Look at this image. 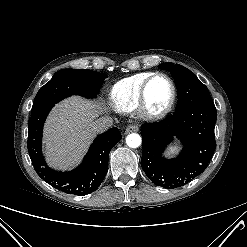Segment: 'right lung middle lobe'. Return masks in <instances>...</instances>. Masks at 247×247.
<instances>
[{"mask_svg": "<svg viewBox=\"0 0 247 247\" xmlns=\"http://www.w3.org/2000/svg\"><path fill=\"white\" fill-rule=\"evenodd\" d=\"M105 78V75L92 70H59L38 91L31 112L54 105L71 95L95 98Z\"/></svg>", "mask_w": 247, "mask_h": 247, "instance_id": "obj_1", "label": "right lung middle lobe"}]
</instances>
